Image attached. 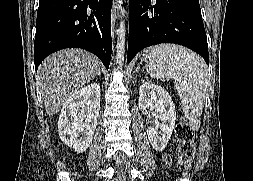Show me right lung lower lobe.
<instances>
[{"mask_svg": "<svg viewBox=\"0 0 253 181\" xmlns=\"http://www.w3.org/2000/svg\"><path fill=\"white\" fill-rule=\"evenodd\" d=\"M111 0H39L34 63L64 48H82L94 53L109 68Z\"/></svg>", "mask_w": 253, "mask_h": 181, "instance_id": "1", "label": "right lung lower lobe"}]
</instances>
